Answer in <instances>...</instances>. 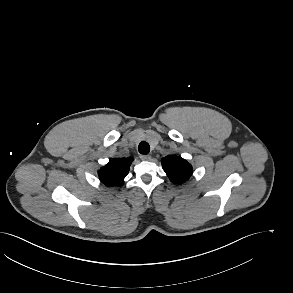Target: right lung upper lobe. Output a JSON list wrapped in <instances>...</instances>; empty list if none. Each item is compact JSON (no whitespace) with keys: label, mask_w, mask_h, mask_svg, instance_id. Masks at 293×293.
I'll return each instance as SVG.
<instances>
[{"label":"right lung upper lobe","mask_w":293,"mask_h":293,"mask_svg":"<svg viewBox=\"0 0 293 293\" xmlns=\"http://www.w3.org/2000/svg\"><path fill=\"white\" fill-rule=\"evenodd\" d=\"M133 158H114L99 170L100 180L107 186H120L129 172Z\"/></svg>","instance_id":"obj_1"}]
</instances>
